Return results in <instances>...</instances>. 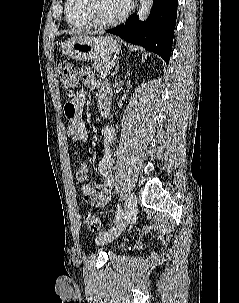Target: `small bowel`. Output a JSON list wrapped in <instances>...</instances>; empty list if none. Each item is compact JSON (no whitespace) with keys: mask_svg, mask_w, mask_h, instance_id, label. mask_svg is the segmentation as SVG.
Listing matches in <instances>:
<instances>
[{"mask_svg":"<svg viewBox=\"0 0 239 303\" xmlns=\"http://www.w3.org/2000/svg\"><path fill=\"white\" fill-rule=\"evenodd\" d=\"M80 73L83 85L89 89L96 90L99 108H109L111 104V91L107 82L96 78L88 67H83ZM86 99V91L82 90L64 106V113L68 120L67 135L76 143H84L88 140V131L82 116ZM102 135L104 151L103 157L98 164V172L102 176V180L96 185L85 183L89 168L85 163H76V179L82 183L81 192L83 199L87 203L97 207H103L109 202L114 183L112 174V146L115 142L114 127H104Z\"/></svg>","mask_w":239,"mask_h":303,"instance_id":"obj_1","label":"small bowel"}]
</instances>
